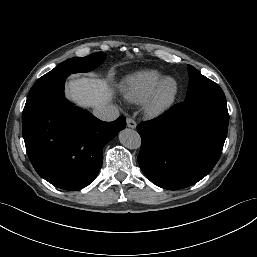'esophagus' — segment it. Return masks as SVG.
<instances>
[{
	"label": "esophagus",
	"instance_id": "obj_1",
	"mask_svg": "<svg viewBox=\"0 0 257 257\" xmlns=\"http://www.w3.org/2000/svg\"><path fill=\"white\" fill-rule=\"evenodd\" d=\"M126 123H127V127L132 129H135L137 126V123L133 118H127Z\"/></svg>",
	"mask_w": 257,
	"mask_h": 257
}]
</instances>
